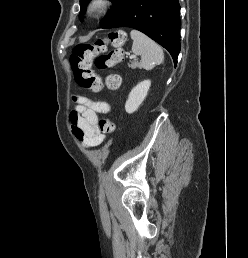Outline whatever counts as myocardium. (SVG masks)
Instances as JSON below:
<instances>
[{
    "label": "myocardium",
    "instance_id": "obj_1",
    "mask_svg": "<svg viewBox=\"0 0 248 258\" xmlns=\"http://www.w3.org/2000/svg\"><path fill=\"white\" fill-rule=\"evenodd\" d=\"M111 6V0H90L86 7V14L89 17H97L105 13Z\"/></svg>",
    "mask_w": 248,
    "mask_h": 258
}]
</instances>
